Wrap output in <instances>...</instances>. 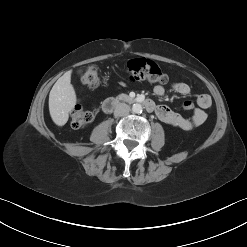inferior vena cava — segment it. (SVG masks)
<instances>
[{
  "label": "inferior vena cava",
  "instance_id": "602c4592",
  "mask_svg": "<svg viewBox=\"0 0 247 247\" xmlns=\"http://www.w3.org/2000/svg\"><path fill=\"white\" fill-rule=\"evenodd\" d=\"M130 112V107L125 103H120L116 106L114 110L115 117L126 116Z\"/></svg>",
  "mask_w": 247,
  "mask_h": 247
}]
</instances>
